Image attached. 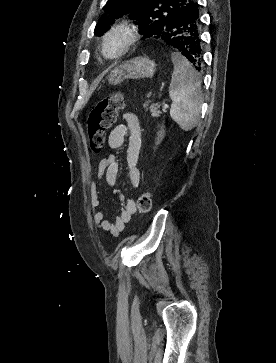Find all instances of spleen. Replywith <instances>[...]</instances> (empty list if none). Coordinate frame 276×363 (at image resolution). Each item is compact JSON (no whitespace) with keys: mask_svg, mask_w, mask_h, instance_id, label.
Returning a JSON list of instances; mask_svg holds the SVG:
<instances>
[{"mask_svg":"<svg viewBox=\"0 0 276 363\" xmlns=\"http://www.w3.org/2000/svg\"><path fill=\"white\" fill-rule=\"evenodd\" d=\"M174 65L169 86V96L172 99L170 116L184 131L196 127L200 119L203 97L201 81L198 73L189 61L180 53H172Z\"/></svg>","mask_w":276,"mask_h":363,"instance_id":"3e777b00","label":"spleen"}]
</instances>
